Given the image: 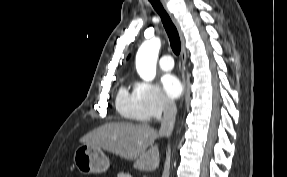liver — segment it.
Here are the masks:
<instances>
[{
	"instance_id": "liver-1",
	"label": "liver",
	"mask_w": 287,
	"mask_h": 177,
	"mask_svg": "<svg viewBox=\"0 0 287 177\" xmlns=\"http://www.w3.org/2000/svg\"><path fill=\"white\" fill-rule=\"evenodd\" d=\"M159 136L148 124L110 122L89 132L80 142L134 160L135 168L150 172L159 167V149L157 145L152 146Z\"/></svg>"
}]
</instances>
